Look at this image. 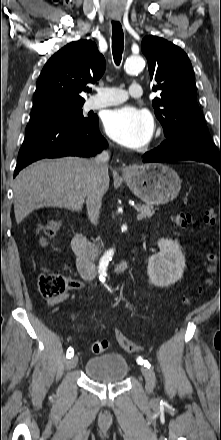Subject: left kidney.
Here are the masks:
<instances>
[{
  "label": "left kidney",
  "mask_w": 221,
  "mask_h": 440,
  "mask_svg": "<svg viewBox=\"0 0 221 440\" xmlns=\"http://www.w3.org/2000/svg\"><path fill=\"white\" fill-rule=\"evenodd\" d=\"M160 252L148 260V276L152 284L158 287H168L183 276L185 257L181 246L175 240L162 238L158 241Z\"/></svg>",
  "instance_id": "left-kidney-1"
}]
</instances>
